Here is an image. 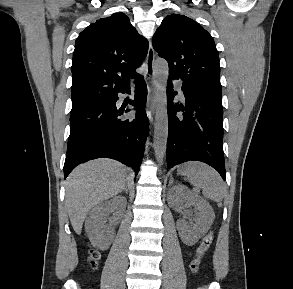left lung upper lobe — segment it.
I'll list each match as a JSON object with an SVG mask.
<instances>
[{"instance_id":"1","label":"left lung upper lobe","mask_w":293,"mask_h":289,"mask_svg":"<svg viewBox=\"0 0 293 289\" xmlns=\"http://www.w3.org/2000/svg\"><path fill=\"white\" fill-rule=\"evenodd\" d=\"M153 48L167 60L169 75L222 92L219 55L208 31L184 15H168L153 36Z\"/></svg>"}]
</instances>
